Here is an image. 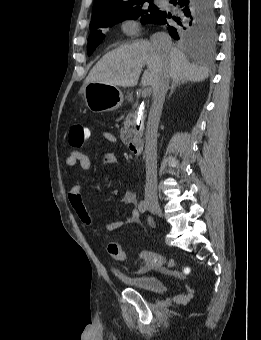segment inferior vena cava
Returning a JSON list of instances; mask_svg holds the SVG:
<instances>
[{"label":"inferior vena cava","instance_id":"obj_1","mask_svg":"<svg viewBox=\"0 0 261 340\" xmlns=\"http://www.w3.org/2000/svg\"><path fill=\"white\" fill-rule=\"evenodd\" d=\"M151 43L160 55L168 54L172 49L170 36L163 32L153 34L151 36ZM168 86L169 77L168 75H163L153 89V103L147 122L145 198L148 199H157V131Z\"/></svg>","mask_w":261,"mask_h":340}]
</instances>
